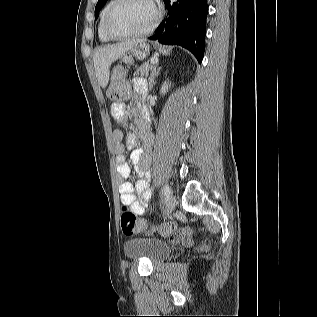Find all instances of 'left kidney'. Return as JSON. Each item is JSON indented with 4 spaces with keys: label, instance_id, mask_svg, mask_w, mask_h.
Returning <instances> with one entry per match:
<instances>
[{
    "label": "left kidney",
    "instance_id": "5707ae66",
    "mask_svg": "<svg viewBox=\"0 0 317 317\" xmlns=\"http://www.w3.org/2000/svg\"><path fill=\"white\" fill-rule=\"evenodd\" d=\"M168 87H170V84L165 81L160 89V93L165 94L168 91Z\"/></svg>",
    "mask_w": 317,
    "mask_h": 317
}]
</instances>
